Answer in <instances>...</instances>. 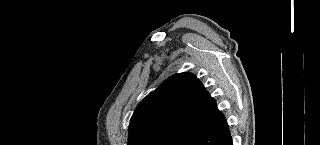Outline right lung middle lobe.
I'll return each instance as SVG.
<instances>
[{"mask_svg":"<svg viewBox=\"0 0 320 145\" xmlns=\"http://www.w3.org/2000/svg\"><path fill=\"white\" fill-rule=\"evenodd\" d=\"M175 132H164L151 135L137 145H167V143L176 135Z\"/></svg>","mask_w":320,"mask_h":145,"instance_id":"obj_1","label":"right lung middle lobe"}]
</instances>
